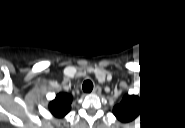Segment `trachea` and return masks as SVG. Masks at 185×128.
I'll return each mask as SVG.
<instances>
[{
    "instance_id": "3493384b",
    "label": "trachea",
    "mask_w": 185,
    "mask_h": 128,
    "mask_svg": "<svg viewBox=\"0 0 185 128\" xmlns=\"http://www.w3.org/2000/svg\"><path fill=\"white\" fill-rule=\"evenodd\" d=\"M93 89V83L91 80H86L84 83H83V90L86 91V92H90L92 91Z\"/></svg>"
}]
</instances>
